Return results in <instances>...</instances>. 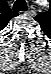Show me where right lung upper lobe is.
<instances>
[{
  "mask_svg": "<svg viewBox=\"0 0 51 74\" xmlns=\"http://www.w3.org/2000/svg\"><path fill=\"white\" fill-rule=\"evenodd\" d=\"M16 14L15 13H13L12 11H8V17H7V19H6V21H5V23H4V26L7 24V22L12 18V17H14Z\"/></svg>",
  "mask_w": 51,
  "mask_h": 74,
  "instance_id": "1",
  "label": "right lung upper lobe"
}]
</instances>
